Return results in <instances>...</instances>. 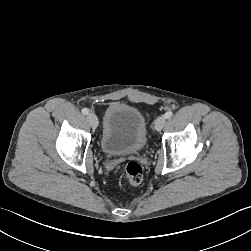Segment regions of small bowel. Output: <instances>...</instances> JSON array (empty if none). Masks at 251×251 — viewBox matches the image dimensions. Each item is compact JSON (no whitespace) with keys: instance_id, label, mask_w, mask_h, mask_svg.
<instances>
[{"instance_id":"c3829d8e","label":"small bowel","mask_w":251,"mask_h":251,"mask_svg":"<svg viewBox=\"0 0 251 251\" xmlns=\"http://www.w3.org/2000/svg\"><path fill=\"white\" fill-rule=\"evenodd\" d=\"M79 104H80L82 107H85V106L88 104V101H87L85 98H82V99L79 101Z\"/></svg>"}]
</instances>
